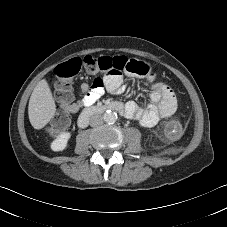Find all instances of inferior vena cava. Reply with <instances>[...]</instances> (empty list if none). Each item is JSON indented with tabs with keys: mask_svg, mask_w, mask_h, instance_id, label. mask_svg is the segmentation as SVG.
<instances>
[{
	"mask_svg": "<svg viewBox=\"0 0 227 227\" xmlns=\"http://www.w3.org/2000/svg\"><path fill=\"white\" fill-rule=\"evenodd\" d=\"M103 123V118L101 115L99 114H95L93 116H91L90 118V125L92 127H96V126H99Z\"/></svg>",
	"mask_w": 227,
	"mask_h": 227,
	"instance_id": "602c4592",
	"label": "inferior vena cava"
}]
</instances>
